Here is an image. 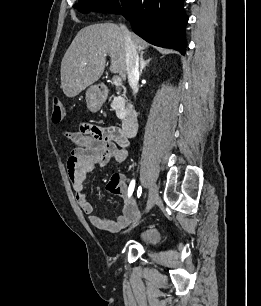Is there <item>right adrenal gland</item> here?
<instances>
[{
  "label": "right adrenal gland",
  "mask_w": 261,
  "mask_h": 306,
  "mask_svg": "<svg viewBox=\"0 0 261 306\" xmlns=\"http://www.w3.org/2000/svg\"><path fill=\"white\" fill-rule=\"evenodd\" d=\"M150 61L151 58L144 60L143 55L140 56V75H142L144 68L149 65Z\"/></svg>",
  "instance_id": "obj_1"
}]
</instances>
